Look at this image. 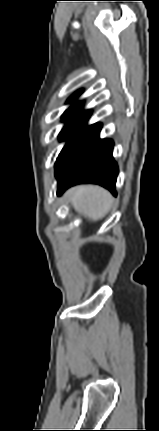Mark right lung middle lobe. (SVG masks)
Returning a JSON list of instances; mask_svg holds the SVG:
<instances>
[{"label": "right lung middle lobe", "mask_w": 159, "mask_h": 431, "mask_svg": "<svg viewBox=\"0 0 159 431\" xmlns=\"http://www.w3.org/2000/svg\"><path fill=\"white\" fill-rule=\"evenodd\" d=\"M65 122V126L59 134V141L66 140L70 138L74 133L80 130L85 126V121L82 120H63Z\"/></svg>", "instance_id": "1"}]
</instances>
